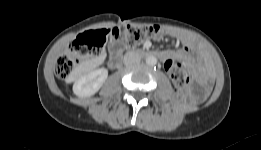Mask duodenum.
<instances>
[{
  "instance_id": "1",
  "label": "duodenum",
  "mask_w": 261,
  "mask_h": 150,
  "mask_svg": "<svg viewBox=\"0 0 261 150\" xmlns=\"http://www.w3.org/2000/svg\"><path fill=\"white\" fill-rule=\"evenodd\" d=\"M136 55L138 56H152V57H158V53L156 52H150L148 50H137L135 52ZM121 60H122V57L118 54H113L111 57H110V60H109V66L111 68H117L120 63H121Z\"/></svg>"
}]
</instances>
